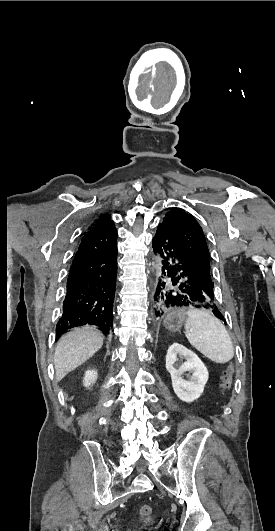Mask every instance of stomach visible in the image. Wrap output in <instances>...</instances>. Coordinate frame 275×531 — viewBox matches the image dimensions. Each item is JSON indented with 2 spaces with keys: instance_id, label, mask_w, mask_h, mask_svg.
I'll return each instance as SVG.
<instances>
[{
  "instance_id": "obj_1",
  "label": "stomach",
  "mask_w": 275,
  "mask_h": 531,
  "mask_svg": "<svg viewBox=\"0 0 275 531\" xmlns=\"http://www.w3.org/2000/svg\"><path fill=\"white\" fill-rule=\"evenodd\" d=\"M185 319L186 315L183 311H173V313L166 315L163 325L165 329H168L171 333H175V331H180Z\"/></svg>"
}]
</instances>
